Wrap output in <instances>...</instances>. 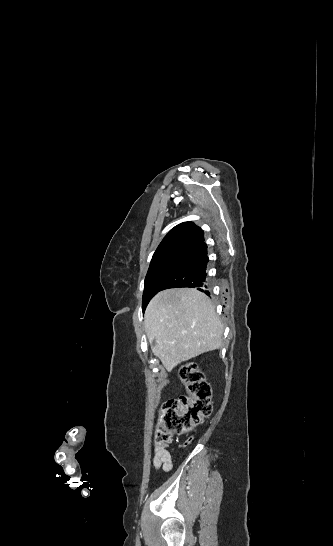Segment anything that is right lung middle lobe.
<instances>
[{"mask_svg":"<svg viewBox=\"0 0 333 546\" xmlns=\"http://www.w3.org/2000/svg\"><path fill=\"white\" fill-rule=\"evenodd\" d=\"M186 252L187 250L173 249L153 255L145 278L143 306H147L150 299L155 295V291L157 289L156 285L160 277Z\"/></svg>","mask_w":333,"mask_h":546,"instance_id":"dd1d6c3e","label":"right lung middle lobe"}]
</instances>
